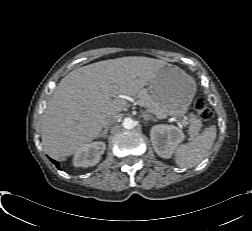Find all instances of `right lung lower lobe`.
Segmentation results:
<instances>
[{"instance_id":"right-lung-lower-lobe-1","label":"right lung lower lobe","mask_w":252,"mask_h":231,"mask_svg":"<svg viewBox=\"0 0 252 231\" xmlns=\"http://www.w3.org/2000/svg\"><path fill=\"white\" fill-rule=\"evenodd\" d=\"M58 168H59V164H58V162L57 161H55V160H52V159H50Z\"/></svg>"}]
</instances>
